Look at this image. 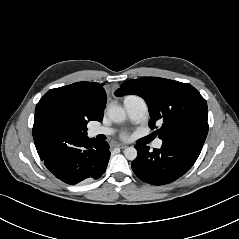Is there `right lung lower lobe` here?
Here are the masks:
<instances>
[{
	"instance_id": "right-lung-lower-lobe-1",
	"label": "right lung lower lobe",
	"mask_w": 239,
	"mask_h": 239,
	"mask_svg": "<svg viewBox=\"0 0 239 239\" xmlns=\"http://www.w3.org/2000/svg\"><path fill=\"white\" fill-rule=\"evenodd\" d=\"M45 166L61 181L75 185L98 179L105 172L109 144L87 136H71L38 152Z\"/></svg>"
}]
</instances>
